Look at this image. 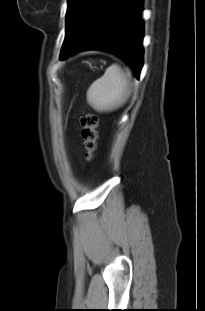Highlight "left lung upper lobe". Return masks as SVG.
<instances>
[{"label": "left lung upper lobe", "mask_w": 205, "mask_h": 311, "mask_svg": "<svg viewBox=\"0 0 205 311\" xmlns=\"http://www.w3.org/2000/svg\"><path fill=\"white\" fill-rule=\"evenodd\" d=\"M119 0H68L66 36L61 55L76 47L109 14Z\"/></svg>", "instance_id": "1"}]
</instances>
